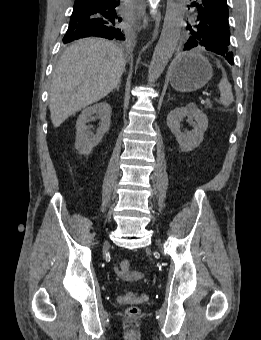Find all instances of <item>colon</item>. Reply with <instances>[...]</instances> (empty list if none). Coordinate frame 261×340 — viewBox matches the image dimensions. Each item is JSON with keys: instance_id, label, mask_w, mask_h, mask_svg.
I'll list each match as a JSON object with an SVG mask.
<instances>
[{"instance_id": "5ec220e1", "label": "colon", "mask_w": 261, "mask_h": 340, "mask_svg": "<svg viewBox=\"0 0 261 340\" xmlns=\"http://www.w3.org/2000/svg\"><path fill=\"white\" fill-rule=\"evenodd\" d=\"M117 274L121 276H127L131 271V263L129 260H121L115 267ZM128 314L131 316H136L139 314V309L137 307H129L127 310Z\"/></svg>"}]
</instances>
